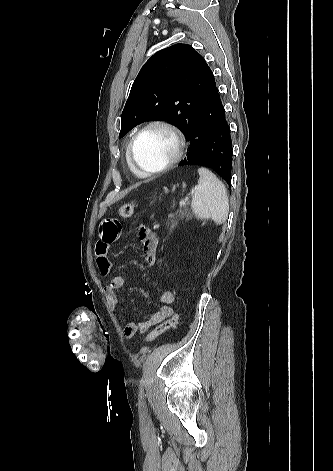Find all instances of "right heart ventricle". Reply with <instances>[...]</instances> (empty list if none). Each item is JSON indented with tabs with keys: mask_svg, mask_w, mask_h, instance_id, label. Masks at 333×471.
Here are the masks:
<instances>
[{
	"mask_svg": "<svg viewBox=\"0 0 333 471\" xmlns=\"http://www.w3.org/2000/svg\"><path fill=\"white\" fill-rule=\"evenodd\" d=\"M128 164H129V167H130L131 171H132L134 174H136V175L139 176V177H144L143 175H141L139 172H137V171L130 165L129 161H128Z\"/></svg>",
	"mask_w": 333,
	"mask_h": 471,
	"instance_id": "1",
	"label": "right heart ventricle"
}]
</instances>
